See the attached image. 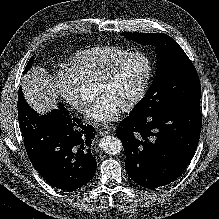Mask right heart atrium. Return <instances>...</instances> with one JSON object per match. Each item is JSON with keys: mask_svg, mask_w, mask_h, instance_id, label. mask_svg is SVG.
Instances as JSON below:
<instances>
[{"mask_svg": "<svg viewBox=\"0 0 219 219\" xmlns=\"http://www.w3.org/2000/svg\"><path fill=\"white\" fill-rule=\"evenodd\" d=\"M57 93L78 113H84L90 103L81 92L79 77L71 69H60L53 78Z\"/></svg>", "mask_w": 219, "mask_h": 219, "instance_id": "right-heart-atrium-1", "label": "right heart atrium"}]
</instances>
